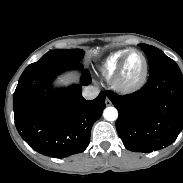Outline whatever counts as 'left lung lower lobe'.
I'll return each instance as SVG.
<instances>
[{
    "mask_svg": "<svg viewBox=\"0 0 183 183\" xmlns=\"http://www.w3.org/2000/svg\"><path fill=\"white\" fill-rule=\"evenodd\" d=\"M106 95L119 112L116 129L130 151L165 148L183 129V75L177 65L149 74L145 86L133 94Z\"/></svg>",
    "mask_w": 183,
    "mask_h": 183,
    "instance_id": "0a47b994",
    "label": "left lung lower lobe"
}]
</instances>
